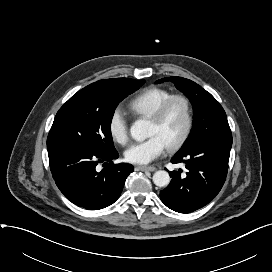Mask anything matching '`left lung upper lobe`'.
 I'll use <instances>...</instances> for the list:
<instances>
[{"label":"left lung upper lobe","instance_id":"1","mask_svg":"<svg viewBox=\"0 0 272 272\" xmlns=\"http://www.w3.org/2000/svg\"><path fill=\"white\" fill-rule=\"evenodd\" d=\"M171 81L191 101L194 109L193 127L179 151L187 150L200 142L223 136H231L227 116L219 102L201 86L182 77L162 78L156 83Z\"/></svg>","mask_w":272,"mask_h":272}]
</instances>
